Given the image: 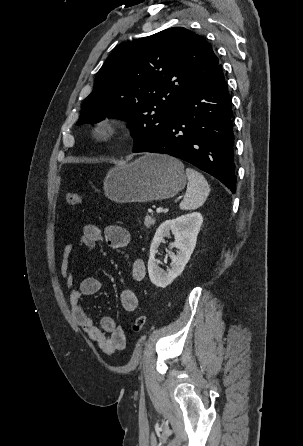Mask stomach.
<instances>
[{
    "label": "stomach",
    "instance_id": "stomach-1",
    "mask_svg": "<svg viewBox=\"0 0 303 446\" xmlns=\"http://www.w3.org/2000/svg\"><path fill=\"white\" fill-rule=\"evenodd\" d=\"M184 165L162 154H146L111 169L104 180L105 195L113 202H149L174 197L186 185Z\"/></svg>",
    "mask_w": 303,
    "mask_h": 446
}]
</instances>
